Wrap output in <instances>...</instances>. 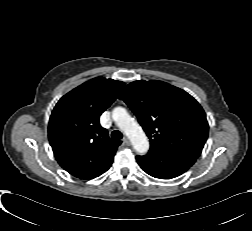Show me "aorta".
<instances>
[{
	"label": "aorta",
	"mask_w": 252,
	"mask_h": 231,
	"mask_svg": "<svg viewBox=\"0 0 252 231\" xmlns=\"http://www.w3.org/2000/svg\"><path fill=\"white\" fill-rule=\"evenodd\" d=\"M113 120L131 141L138 154H145L149 150L147 136L140 125L122 107L113 110Z\"/></svg>",
	"instance_id": "1"
}]
</instances>
